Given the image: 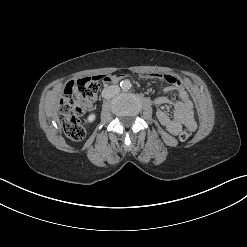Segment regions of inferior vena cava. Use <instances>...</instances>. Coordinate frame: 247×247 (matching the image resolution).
I'll return each instance as SVG.
<instances>
[{"instance_id": "inferior-vena-cava-1", "label": "inferior vena cava", "mask_w": 247, "mask_h": 247, "mask_svg": "<svg viewBox=\"0 0 247 247\" xmlns=\"http://www.w3.org/2000/svg\"><path fill=\"white\" fill-rule=\"evenodd\" d=\"M120 92V87L118 85H111L104 89L103 95L106 99L112 98Z\"/></svg>"}]
</instances>
